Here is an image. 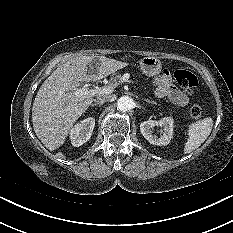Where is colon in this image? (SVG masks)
Returning a JSON list of instances; mask_svg holds the SVG:
<instances>
[{"instance_id": "1", "label": "colon", "mask_w": 233, "mask_h": 233, "mask_svg": "<svg viewBox=\"0 0 233 233\" xmlns=\"http://www.w3.org/2000/svg\"><path fill=\"white\" fill-rule=\"evenodd\" d=\"M173 77L177 84L187 93H192L198 85L197 77L185 69H177L174 71ZM190 115L193 119H200L202 116L201 107L193 104L190 107Z\"/></svg>"}]
</instances>
